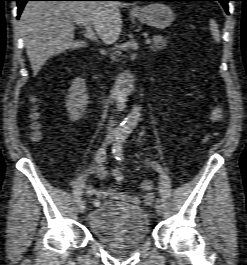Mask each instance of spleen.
Returning a JSON list of instances; mask_svg holds the SVG:
<instances>
[{"label": "spleen", "mask_w": 247, "mask_h": 265, "mask_svg": "<svg viewBox=\"0 0 247 265\" xmlns=\"http://www.w3.org/2000/svg\"><path fill=\"white\" fill-rule=\"evenodd\" d=\"M210 30L213 36V39L218 43L220 42V34H219V30H218V25L217 23L211 19L210 20Z\"/></svg>", "instance_id": "1"}]
</instances>
